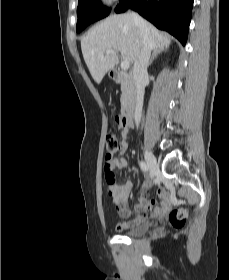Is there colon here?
Instances as JSON below:
<instances>
[{"instance_id": "5ec220e1", "label": "colon", "mask_w": 229, "mask_h": 280, "mask_svg": "<svg viewBox=\"0 0 229 280\" xmlns=\"http://www.w3.org/2000/svg\"><path fill=\"white\" fill-rule=\"evenodd\" d=\"M119 125L118 119L111 120L110 126L117 128ZM121 150V141L115 133H109L105 144V179L106 182L115 184V173L113 171V158ZM186 213L183 209H173L169 214L171 224L180 228L185 223Z\"/></svg>"}]
</instances>
